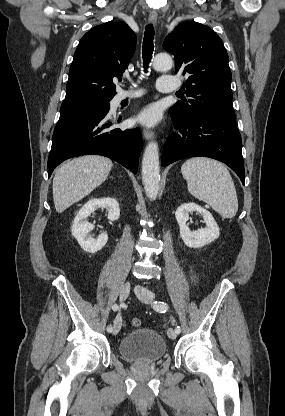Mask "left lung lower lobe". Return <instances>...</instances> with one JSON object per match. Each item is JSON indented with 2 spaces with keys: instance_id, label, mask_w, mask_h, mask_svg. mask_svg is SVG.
Returning <instances> with one entry per match:
<instances>
[{
  "instance_id": "0a47b994",
  "label": "left lung lower lobe",
  "mask_w": 285,
  "mask_h": 416,
  "mask_svg": "<svg viewBox=\"0 0 285 416\" xmlns=\"http://www.w3.org/2000/svg\"><path fill=\"white\" fill-rule=\"evenodd\" d=\"M173 124L175 133L164 146L162 166L188 157H210L227 164L244 184L242 141L234 113H207Z\"/></svg>"
}]
</instances>
